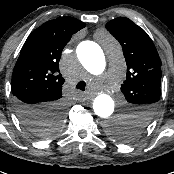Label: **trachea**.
<instances>
[{
  "instance_id": "3493384b",
  "label": "trachea",
  "mask_w": 174,
  "mask_h": 174,
  "mask_svg": "<svg viewBox=\"0 0 174 174\" xmlns=\"http://www.w3.org/2000/svg\"><path fill=\"white\" fill-rule=\"evenodd\" d=\"M85 86H86V83L84 81H80L77 85H76V88L77 89H80L82 91H85Z\"/></svg>"
}]
</instances>
